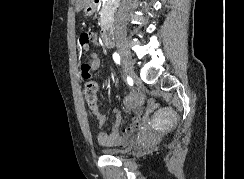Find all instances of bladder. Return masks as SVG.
Listing matches in <instances>:
<instances>
[{
  "instance_id": "31cf9c89",
  "label": "bladder",
  "mask_w": 244,
  "mask_h": 179,
  "mask_svg": "<svg viewBox=\"0 0 244 179\" xmlns=\"http://www.w3.org/2000/svg\"><path fill=\"white\" fill-rule=\"evenodd\" d=\"M136 142H134L133 144H135ZM102 152L106 155V156H115V155H119L122 153L121 149L119 148H102Z\"/></svg>"
}]
</instances>
